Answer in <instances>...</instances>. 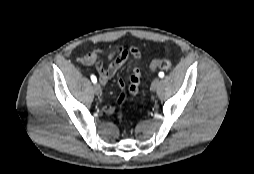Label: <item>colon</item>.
I'll return each instance as SVG.
<instances>
[{
    "instance_id": "1",
    "label": "colon",
    "mask_w": 254,
    "mask_h": 174,
    "mask_svg": "<svg viewBox=\"0 0 254 174\" xmlns=\"http://www.w3.org/2000/svg\"><path fill=\"white\" fill-rule=\"evenodd\" d=\"M149 67L151 70H157V69L168 70L172 67V62L168 59H155V60L151 61ZM128 92L130 93L129 88H128V90L123 91L120 94V97L117 101V104L119 107H121V105L123 104ZM118 119H120V120L122 119L121 114H118Z\"/></svg>"
}]
</instances>
